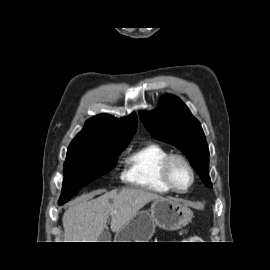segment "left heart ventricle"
Listing matches in <instances>:
<instances>
[{
	"mask_svg": "<svg viewBox=\"0 0 270 270\" xmlns=\"http://www.w3.org/2000/svg\"><path fill=\"white\" fill-rule=\"evenodd\" d=\"M172 177L179 188H186L190 183L189 171L179 162L174 163L172 167Z\"/></svg>",
	"mask_w": 270,
	"mask_h": 270,
	"instance_id": "1",
	"label": "left heart ventricle"
}]
</instances>
